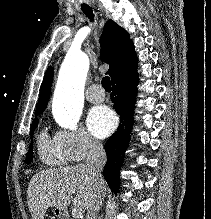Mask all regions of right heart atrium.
I'll list each match as a JSON object with an SVG mask.
<instances>
[{
	"mask_svg": "<svg viewBox=\"0 0 211 219\" xmlns=\"http://www.w3.org/2000/svg\"><path fill=\"white\" fill-rule=\"evenodd\" d=\"M56 143L71 162H80L102 152V144L81 127L59 130L54 137Z\"/></svg>",
	"mask_w": 211,
	"mask_h": 219,
	"instance_id": "right-heart-atrium-1",
	"label": "right heart atrium"
}]
</instances>
